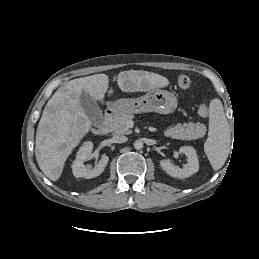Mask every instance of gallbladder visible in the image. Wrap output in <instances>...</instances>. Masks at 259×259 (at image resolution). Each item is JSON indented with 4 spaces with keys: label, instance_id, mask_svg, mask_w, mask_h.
<instances>
[{
    "label": "gallbladder",
    "instance_id": "gallbladder-1",
    "mask_svg": "<svg viewBox=\"0 0 259 259\" xmlns=\"http://www.w3.org/2000/svg\"><path fill=\"white\" fill-rule=\"evenodd\" d=\"M80 103L91 123L95 126L101 125L103 122V112L96 100H94L85 91H82L80 95Z\"/></svg>",
    "mask_w": 259,
    "mask_h": 259
}]
</instances>
